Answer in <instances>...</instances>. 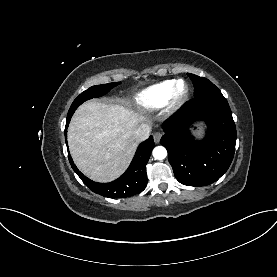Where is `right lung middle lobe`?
<instances>
[{"instance_id": "1", "label": "right lung middle lobe", "mask_w": 277, "mask_h": 277, "mask_svg": "<svg viewBox=\"0 0 277 277\" xmlns=\"http://www.w3.org/2000/svg\"><path fill=\"white\" fill-rule=\"evenodd\" d=\"M120 82H115V83H108L104 85H97V86H92L89 89L85 90L82 92L72 103L68 115H67V120L69 121L75 112V110L78 108L79 105H81L84 101L103 96L106 94L108 91H110L113 87L119 85Z\"/></svg>"}]
</instances>
